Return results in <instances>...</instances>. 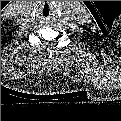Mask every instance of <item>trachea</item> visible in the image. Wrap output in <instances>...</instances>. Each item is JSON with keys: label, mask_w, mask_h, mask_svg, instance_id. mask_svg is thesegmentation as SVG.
<instances>
[{"label": "trachea", "mask_w": 121, "mask_h": 121, "mask_svg": "<svg viewBox=\"0 0 121 121\" xmlns=\"http://www.w3.org/2000/svg\"><path fill=\"white\" fill-rule=\"evenodd\" d=\"M52 13L51 5L45 1V3H42L41 8H40V15L43 18H48L50 17Z\"/></svg>", "instance_id": "obj_1"}]
</instances>
